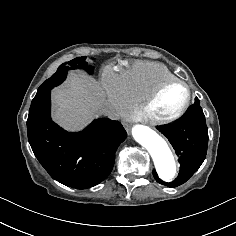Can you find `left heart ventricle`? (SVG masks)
<instances>
[{
	"label": "left heart ventricle",
	"mask_w": 236,
	"mask_h": 236,
	"mask_svg": "<svg viewBox=\"0 0 236 236\" xmlns=\"http://www.w3.org/2000/svg\"><path fill=\"white\" fill-rule=\"evenodd\" d=\"M186 90L180 85H173L164 90L152 108V114L158 118L173 115L183 105Z\"/></svg>",
	"instance_id": "obj_1"
}]
</instances>
